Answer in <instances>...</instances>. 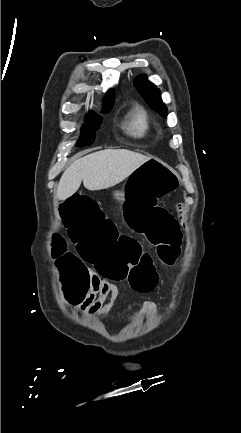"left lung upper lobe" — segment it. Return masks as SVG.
<instances>
[{
    "mask_svg": "<svg viewBox=\"0 0 241 433\" xmlns=\"http://www.w3.org/2000/svg\"><path fill=\"white\" fill-rule=\"evenodd\" d=\"M135 85L140 94L146 99V101L161 115L167 116V108L161 99L159 89L150 81L147 80L146 76L138 77L135 80Z\"/></svg>",
    "mask_w": 241,
    "mask_h": 433,
    "instance_id": "obj_1",
    "label": "left lung upper lobe"
}]
</instances>
